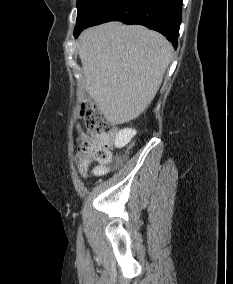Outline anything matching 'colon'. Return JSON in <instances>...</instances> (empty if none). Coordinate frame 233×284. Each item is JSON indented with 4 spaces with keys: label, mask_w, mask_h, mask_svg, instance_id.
Returning a JSON list of instances; mask_svg holds the SVG:
<instances>
[{
    "label": "colon",
    "mask_w": 233,
    "mask_h": 284,
    "mask_svg": "<svg viewBox=\"0 0 233 284\" xmlns=\"http://www.w3.org/2000/svg\"><path fill=\"white\" fill-rule=\"evenodd\" d=\"M81 116L87 130L79 137L78 161L88 166L107 164L111 160L114 124L93 103L82 104Z\"/></svg>",
    "instance_id": "5ec220e1"
}]
</instances>
